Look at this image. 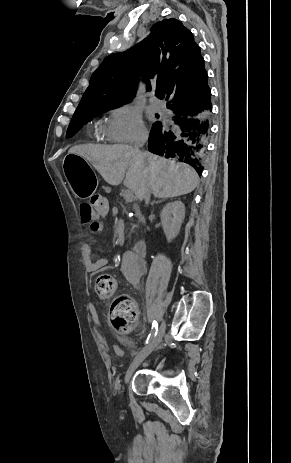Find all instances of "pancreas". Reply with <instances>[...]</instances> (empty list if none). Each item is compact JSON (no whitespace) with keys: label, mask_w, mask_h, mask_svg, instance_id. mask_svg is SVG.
Wrapping results in <instances>:
<instances>
[{"label":"pancreas","mask_w":291,"mask_h":463,"mask_svg":"<svg viewBox=\"0 0 291 463\" xmlns=\"http://www.w3.org/2000/svg\"><path fill=\"white\" fill-rule=\"evenodd\" d=\"M137 217H138L139 221H143V220H144V217H143L140 213L137 214Z\"/></svg>","instance_id":"pancreas-1"}]
</instances>
